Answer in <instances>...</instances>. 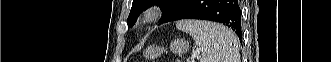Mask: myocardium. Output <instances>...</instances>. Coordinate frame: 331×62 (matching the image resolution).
Returning <instances> with one entry per match:
<instances>
[{"instance_id":"obj_1","label":"myocardium","mask_w":331,"mask_h":62,"mask_svg":"<svg viewBox=\"0 0 331 62\" xmlns=\"http://www.w3.org/2000/svg\"><path fill=\"white\" fill-rule=\"evenodd\" d=\"M159 17V11L156 9H151L147 12H145L137 21V24L139 27H144Z\"/></svg>"}]
</instances>
